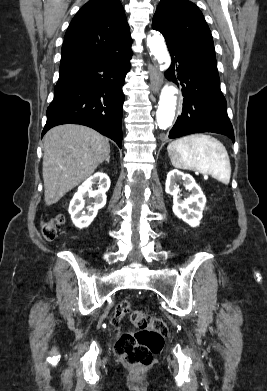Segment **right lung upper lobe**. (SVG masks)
Here are the masks:
<instances>
[{
  "label": "right lung upper lobe",
  "mask_w": 267,
  "mask_h": 391,
  "mask_svg": "<svg viewBox=\"0 0 267 391\" xmlns=\"http://www.w3.org/2000/svg\"><path fill=\"white\" fill-rule=\"evenodd\" d=\"M132 39L119 0H90L65 34L59 73L130 49Z\"/></svg>",
  "instance_id": "obj_1"
}]
</instances>
